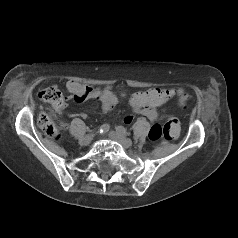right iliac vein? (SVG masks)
Returning a JSON list of instances; mask_svg holds the SVG:
<instances>
[{
	"mask_svg": "<svg viewBox=\"0 0 238 238\" xmlns=\"http://www.w3.org/2000/svg\"><path fill=\"white\" fill-rule=\"evenodd\" d=\"M93 139H94V134L86 135L82 140V144L89 145L93 141Z\"/></svg>",
	"mask_w": 238,
	"mask_h": 238,
	"instance_id": "obj_1",
	"label": "right iliac vein"
}]
</instances>
